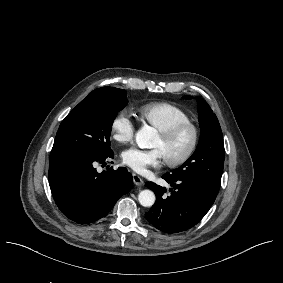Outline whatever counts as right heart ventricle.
Returning a JSON list of instances; mask_svg holds the SVG:
<instances>
[{"label":"right heart ventricle","instance_id":"1","mask_svg":"<svg viewBox=\"0 0 283 283\" xmlns=\"http://www.w3.org/2000/svg\"><path fill=\"white\" fill-rule=\"evenodd\" d=\"M135 113L143 122L164 132L178 122L190 121V116L179 107L167 102H152L141 105Z\"/></svg>","mask_w":283,"mask_h":283}]
</instances>
